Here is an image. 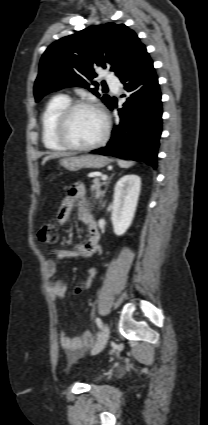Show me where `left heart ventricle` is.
<instances>
[{
  "label": "left heart ventricle",
  "mask_w": 208,
  "mask_h": 425,
  "mask_svg": "<svg viewBox=\"0 0 208 425\" xmlns=\"http://www.w3.org/2000/svg\"><path fill=\"white\" fill-rule=\"evenodd\" d=\"M104 122L100 114L90 109L77 110L71 119L68 135L78 145L96 142L102 135Z\"/></svg>",
  "instance_id": "obj_1"
}]
</instances>
